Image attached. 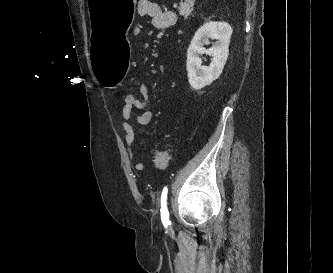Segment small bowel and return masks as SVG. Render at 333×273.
Listing matches in <instances>:
<instances>
[{
	"label": "small bowel",
	"mask_w": 333,
	"mask_h": 273,
	"mask_svg": "<svg viewBox=\"0 0 333 273\" xmlns=\"http://www.w3.org/2000/svg\"><path fill=\"white\" fill-rule=\"evenodd\" d=\"M140 16L148 17L151 19V23L155 28L158 29H168L175 25L176 16L174 12L168 10H162L159 4L152 2L150 0H140L137 7ZM135 33L140 34L141 29L139 27L135 28ZM140 96H135L136 104L134 109L141 110L140 114H134V109H123L122 108V121L121 129L125 133V143L128 149L129 158L134 161L135 155L132 150V144L135 140V130L133 128V123L137 125H147L151 122L153 118V112L149 108V88L145 84H141L139 87ZM132 94V93H129ZM134 169L136 171H143L145 166L142 162L135 161Z\"/></svg>",
	"instance_id": "c3829d8e"
}]
</instances>
